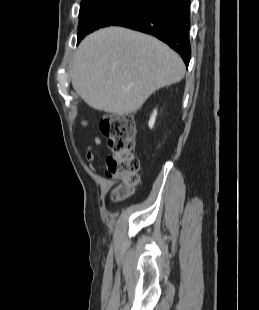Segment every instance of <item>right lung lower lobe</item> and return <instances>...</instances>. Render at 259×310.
I'll return each instance as SVG.
<instances>
[{
	"mask_svg": "<svg viewBox=\"0 0 259 310\" xmlns=\"http://www.w3.org/2000/svg\"><path fill=\"white\" fill-rule=\"evenodd\" d=\"M190 0H157L115 25L151 34L167 43L188 67L191 58L189 40Z\"/></svg>",
	"mask_w": 259,
	"mask_h": 310,
	"instance_id": "1",
	"label": "right lung lower lobe"
}]
</instances>
